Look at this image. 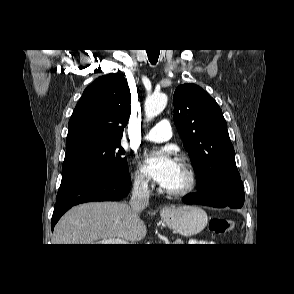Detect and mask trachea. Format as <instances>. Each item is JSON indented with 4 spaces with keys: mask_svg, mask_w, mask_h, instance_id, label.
Listing matches in <instances>:
<instances>
[{
    "mask_svg": "<svg viewBox=\"0 0 294 294\" xmlns=\"http://www.w3.org/2000/svg\"><path fill=\"white\" fill-rule=\"evenodd\" d=\"M146 52H147L149 61L152 64H156L157 63V60H158V57H159V52L160 51L154 50V49H150V50H146Z\"/></svg>",
    "mask_w": 294,
    "mask_h": 294,
    "instance_id": "obj_1",
    "label": "trachea"
}]
</instances>
